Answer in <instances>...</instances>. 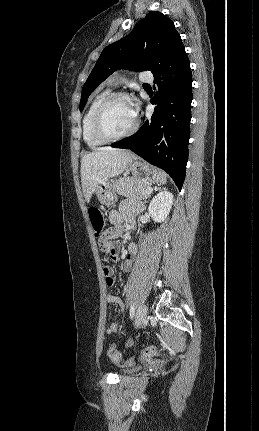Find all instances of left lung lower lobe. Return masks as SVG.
Masks as SVG:
<instances>
[{
    "instance_id": "1",
    "label": "left lung lower lobe",
    "mask_w": 259,
    "mask_h": 431,
    "mask_svg": "<svg viewBox=\"0 0 259 431\" xmlns=\"http://www.w3.org/2000/svg\"><path fill=\"white\" fill-rule=\"evenodd\" d=\"M154 75L152 117L140 130L112 147L130 149L163 170L179 190L185 179L190 138L192 74L185 47L180 39L160 63Z\"/></svg>"
}]
</instances>
